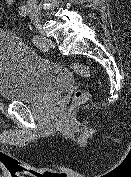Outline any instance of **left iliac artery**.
<instances>
[{"mask_svg":"<svg viewBox=\"0 0 131 177\" xmlns=\"http://www.w3.org/2000/svg\"><path fill=\"white\" fill-rule=\"evenodd\" d=\"M29 29L32 30L30 25H29Z\"/></svg>","mask_w":131,"mask_h":177,"instance_id":"left-iliac-artery-1","label":"left iliac artery"}]
</instances>
